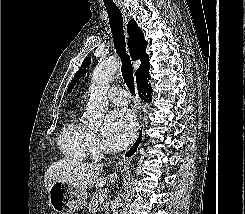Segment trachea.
<instances>
[{"label":"trachea","instance_id":"3493384b","mask_svg":"<svg viewBox=\"0 0 245 214\" xmlns=\"http://www.w3.org/2000/svg\"><path fill=\"white\" fill-rule=\"evenodd\" d=\"M104 5L109 17L114 46L122 63L121 72L124 82L126 83L129 90L135 95L133 68L130 56L126 52L123 18L121 11L115 4L105 3Z\"/></svg>","mask_w":245,"mask_h":214}]
</instances>
